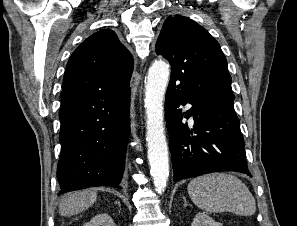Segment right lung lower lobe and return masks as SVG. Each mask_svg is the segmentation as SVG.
Listing matches in <instances>:
<instances>
[{
    "mask_svg": "<svg viewBox=\"0 0 297 226\" xmlns=\"http://www.w3.org/2000/svg\"><path fill=\"white\" fill-rule=\"evenodd\" d=\"M130 88L62 100L58 195L96 186L121 189L129 136Z\"/></svg>",
    "mask_w": 297,
    "mask_h": 226,
    "instance_id": "1",
    "label": "right lung lower lobe"
}]
</instances>
